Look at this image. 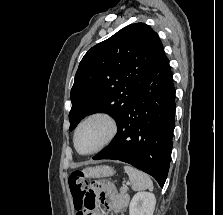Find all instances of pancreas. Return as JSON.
I'll return each mask as SVG.
<instances>
[{
  "label": "pancreas",
  "mask_w": 223,
  "mask_h": 215,
  "mask_svg": "<svg viewBox=\"0 0 223 215\" xmlns=\"http://www.w3.org/2000/svg\"><path fill=\"white\" fill-rule=\"evenodd\" d=\"M128 187H120V191H123V193H125V191H127Z\"/></svg>",
  "instance_id": "1"
}]
</instances>
